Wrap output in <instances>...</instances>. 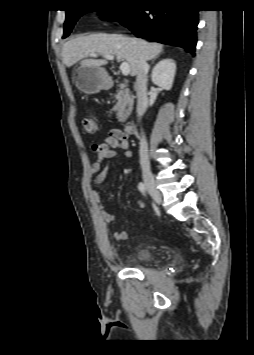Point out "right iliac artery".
<instances>
[{
	"mask_svg": "<svg viewBox=\"0 0 254 355\" xmlns=\"http://www.w3.org/2000/svg\"><path fill=\"white\" fill-rule=\"evenodd\" d=\"M138 189L143 195H146V186L143 182L138 184Z\"/></svg>",
	"mask_w": 254,
	"mask_h": 355,
	"instance_id": "1",
	"label": "right iliac artery"
}]
</instances>
